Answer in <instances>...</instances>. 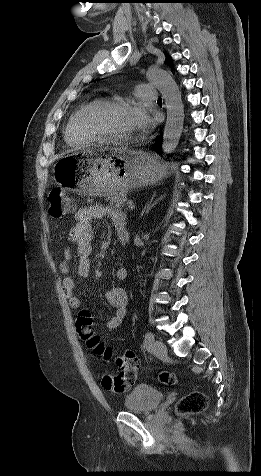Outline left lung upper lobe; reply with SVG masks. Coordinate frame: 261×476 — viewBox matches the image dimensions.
Segmentation results:
<instances>
[{
	"instance_id": "1",
	"label": "left lung upper lobe",
	"mask_w": 261,
	"mask_h": 476,
	"mask_svg": "<svg viewBox=\"0 0 261 476\" xmlns=\"http://www.w3.org/2000/svg\"><path fill=\"white\" fill-rule=\"evenodd\" d=\"M171 60H172L171 57L167 55L165 62L172 68Z\"/></svg>"
}]
</instances>
